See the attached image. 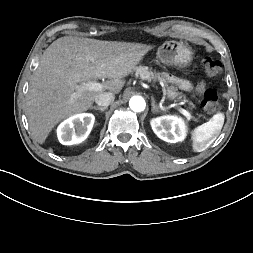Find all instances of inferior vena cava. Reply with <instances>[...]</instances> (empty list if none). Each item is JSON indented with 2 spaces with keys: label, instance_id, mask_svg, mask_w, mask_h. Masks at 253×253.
Returning a JSON list of instances; mask_svg holds the SVG:
<instances>
[{
  "label": "inferior vena cava",
  "instance_id": "obj_1",
  "mask_svg": "<svg viewBox=\"0 0 253 253\" xmlns=\"http://www.w3.org/2000/svg\"><path fill=\"white\" fill-rule=\"evenodd\" d=\"M115 99V96L111 92H104V93H99L95 97V102L99 106H108L111 102H113Z\"/></svg>",
  "mask_w": 253,
  "mask_h": 253
}]
</instances>
